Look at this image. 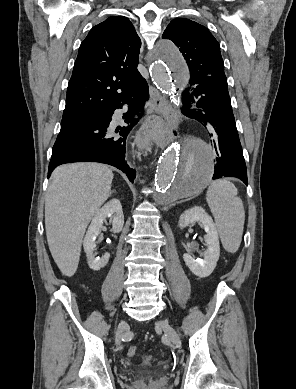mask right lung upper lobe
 Masks as SVG:
<instances>
[{
  "label": "right lung upper lobe",
  "instance_id": "right-lung-upper-lobe-1",
  "mask_svg": "<svg viewBox=\"0 0 296 389\" xmlns=\"http://www.w3.org/2000/svg\"><path fill=\"white\" fill-rule=\"evenodd\" d=\"M141 40L126 17L112 16L81 43L68 83L63 119L93 117L119 106L141 76Z\"/></svg>",
  "mask_w": 296,
  "mask_h": 389
}]
</instances>
